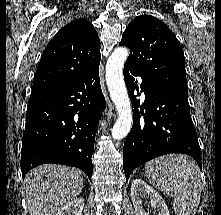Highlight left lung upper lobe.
Here are the masks:
<instances>
[{
    "instance_id": "obj_1",
    "label": "left lung upper lobe",
    "mask_w": 221,
    "mask_h": 215,
    "mask_svg": "<svg viewBox=\"0 0 221 215\" xmlns=\"http://www.w3.org/2000/svg\"><path fill=\"white\" fill-rule=\"evenodd\" d=\"M120 45L131 50L125 65L166 88L188 94L183 51L162 21L151 15L136 17L124 31Z\"/></svg>"
}]
</instances>
